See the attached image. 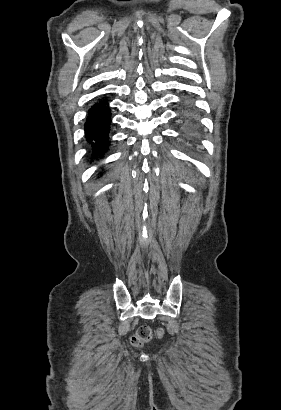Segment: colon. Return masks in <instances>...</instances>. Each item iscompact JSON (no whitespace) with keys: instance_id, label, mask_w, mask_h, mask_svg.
<instances>
[{"instance_id":"colon-1","label":"colon","mask_w":281,"mask_h":410,"mask_svg":"<svg viewBox=\"0 0 281 410\" xmlns=\"http://www.w3.org/2000/svg\"><path fill=\"white\" fill-rule=\"evenodd\" d=\"M163 335L162 329L153 330L150 326H140L135 334L131 337V344L134 347H141L146 342L150 341L154 336L161 337Z\"/></svg>"}]
</instances>
